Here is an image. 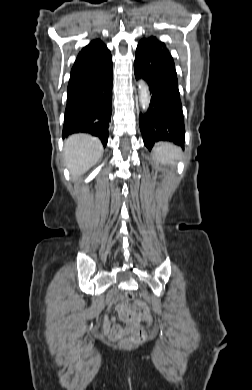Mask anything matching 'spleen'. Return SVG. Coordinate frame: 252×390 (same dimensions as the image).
<instances>
[{"label":"spleen","mask_w":252,"mask_h":390,"mask_svg":"<svg viewBox=\"0 0 252 390\" xmlns=\"http://www.w3.org/2000/svg\"><path fill=\"white\" fill-rule=\"evenodd\" d=\"M180 154V150L170 143H159L154 150L155 157L163 164L173 163Z\"/></svg>","instance_id":"spleen-1"}]
</instances>
